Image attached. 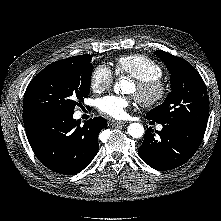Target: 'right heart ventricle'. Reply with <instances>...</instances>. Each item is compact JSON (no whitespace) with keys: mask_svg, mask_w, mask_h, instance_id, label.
I'll return each mask as SVG.
<instances>
[{"mask_svg":"<svg viewBox=\"0 0 221 221\" xmlns=\"http://www.w3.org/2000/svg\"><path fill=\"white\" fill-rule=\"evenodd\" d=\"M115 69L117 74L129 75L139 81L160 79L163 75L162 67L156 61L141 54L119 57Z\"/></svg>","mask_w":221,"mask_h":221,"instance_id":"1","label":"right heart ventricle"}]
</instances>
